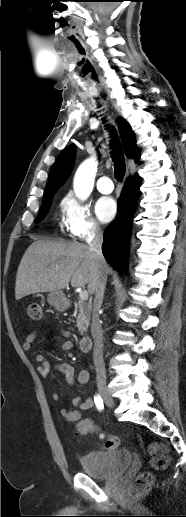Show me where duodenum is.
Listing matches in <instances>:
<instances>
[{
  "label": "duodenum",
  "mask_w": 186,
  "mask_h": 517,
  "mask_svg": "<svg viewBox=\"0 0 186 517\" xmlns=\"http://www.w3.org/2000/svg\"><path fill=\"white\" fill-rule=\"evenodd\" d=\"M92 338L89 335L82 336L79 340V347L83 352H89L92 349Z\"/></svg>",
  "instance_id": "duodenum-1"
}]
</instances>
